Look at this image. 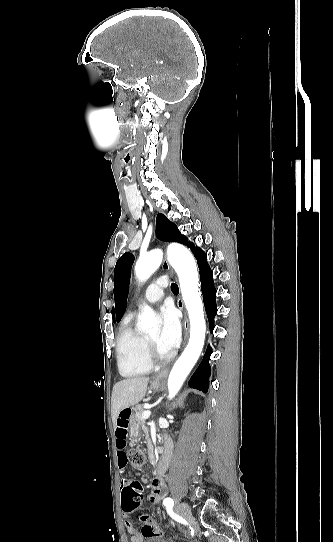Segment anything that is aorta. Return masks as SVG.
<instances>
[{
  "instance_id": "1",
  "label": "aorta",
  "mask_w": 333,
  "mask_h": 542,
  "mask_svg": "<svg viewBox=\"0 0 333 542\" xmlns=\"http://www.w3.org/2000/svg\"><path fill=\"white\" fill-rule=\"evenodd\" d=\"M168 254H171V266L178 274L181 294L190 322L188 344L168 376L169 398H174L201 356L205 344L206 322L202 300L199 296L197 266L191 252L180 244H170ZM161 262L162 254L159 250H152L149 254L140 256L135 266L138 280L142 282L148 280L161 266ZM157 324L154 310L150 306H144L139 316L138 330L140 332L151 330V328H157Z\"/></svg>"
}]
</instances>
